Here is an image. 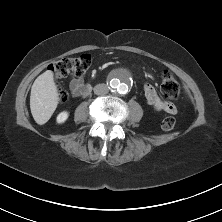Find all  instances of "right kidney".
<instances>
[{
  "label": "right kidney",
  "mask_w": 222,
  "mask_h": 222,
  "mask_svg": "<svg viewBox=\"0 0 222 222\" xmlns=\"http://www.w3.org/2000/svg\"><path fill=\"white\" fill-rule=\"evenodd\" d=\"M69 117V113L67 111H63L58 114L56 121L57 123L61 124L64 123Z\"/></svg>",
  "instance_id": "ca27d5eb"
}]
</instances>
